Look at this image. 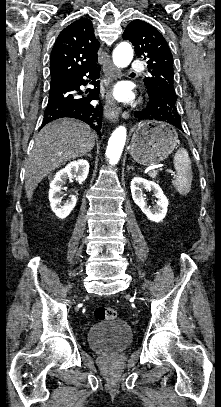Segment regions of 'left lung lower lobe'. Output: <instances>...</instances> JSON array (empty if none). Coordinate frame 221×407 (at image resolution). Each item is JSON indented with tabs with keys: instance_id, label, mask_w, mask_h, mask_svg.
Here are the masks:
<instances>
[{
	"instance_id": "obj_1",
	"label": "left lung lower lobe",
	"mask_w": 221,
	"mask_h": 407,
	"mask_svg": "<svg viewBox=\"0 0 221 407\" xmlns=\"http://www.w3.org/2000/svg\"><path fill=\"white\" fill-rule=\"evenodd\" d=\"M177 96L174 90L166 87L159 88L149 94V102L145 109L135 112L140 120H158L167 122L182 130L181 116L176 105Z\"/></svg>"
}]
</instances>
